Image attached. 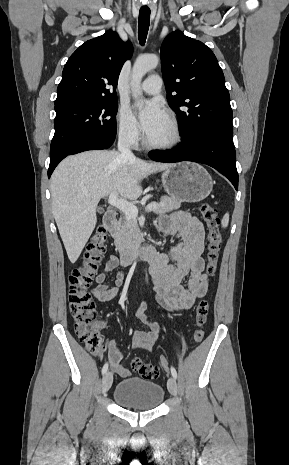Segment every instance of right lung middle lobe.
<instances>
[{
    "label": "right lung middle lobe",
    "instance_id": "right-lung-middle-lobe-1",
    "mask_svg": "<svg viewBox=\"0 0 289 465\" xmlns=\"http://www.w3.org/2000/svg\"><path fill=\"white\" fill-rule=\"evenodd\" d=\"M117 109L116 99L55 105V134L51 142L50 158L87 139L114 137Z\"/></svg>",
    "mask_w": 289,
    "mask_h": 465
}]
</instances>
